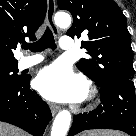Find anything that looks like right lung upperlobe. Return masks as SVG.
Instances as JSON below:
<instances>
[{"instance_id": "right-lung-upper-lobe-1", "label": "right lung upper lobe", "mask_w": 136, "mask_h": 136, "mask_svg": "<svg viewBox=\"0 0 136 136\" xmlns=\"http://www.w3.org/2000/svg\"><path fill=\"white\" fill-rule=\"evenodd\" d=\"M46 9V0H0V64L17 63L12 50L25 37L36 39Z\"/></svg>"}]
</instances>
